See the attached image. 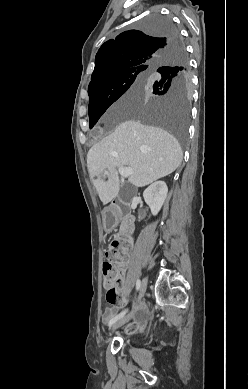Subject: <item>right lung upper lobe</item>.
I'll use <instances>...</instances> for the list:
<instances>
[{
	"label": "right lung upper lobe",
	"instance_id": "right-lung-upper-lobe-1",
	"mask_svg": "<svg viewBox=\"0 0 248 389\" xmlns=\"http://www.w3.org/2000/svg\"><path fill=\"white\" fill-rule=\"evenodd\" d=\"M179 42V35L175 32L152 36L139 30L125 31L115 39L108 40L96 54L88 92L107 83L116 72L135 68L152 69L164 61L165 56L178 50Z\"/></svg>",
	"mask_w": 248,
	"mask_h": 389
}]
</instances>
